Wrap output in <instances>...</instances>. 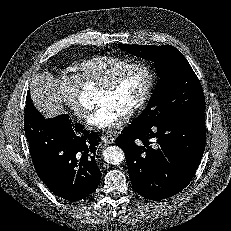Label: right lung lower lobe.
<instances>
[{
	"mask_svg": "<svg viewBox=\"0 0 231 231\" xmlns=\"http://www.w3.org/2000/svg\"><path fill=\"white\" fill-rule=\"evenodd\" d=\"M25 135L39 178L55 195L78 201L93 193L101 173L95 161L96 132L73 123L67 114L46 119L26 98Z\"/></svg>",
	"mask_w": 231,
	"mask_h": 231,
	"instance_id": "right-lung-lower-lobe-1",
	"label": "right lung lower lobe"
}]
</instances>
